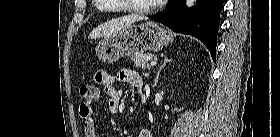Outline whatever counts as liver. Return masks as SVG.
Here are the masks:
<instances>
[{"instance_id": "1", "label": "liver", "mask_w": 280, "mask_h": 137, "mask_svg": "<svg viewBox=\"0 0 280 137\" xmlns=\"http://www.w3.org/2000/svg\"><path fill=\"white\" fill-rule=\"evenodd\" d=\"M146 19H147L146 17L139 16L136 14L112 19L110 21H107L97 26L95 29L91 31L88 37L90 39L99 38V37H109L121 31L122 29L131 26L136 21H142Z\"/></svg>"}]
</instances>
